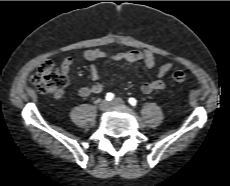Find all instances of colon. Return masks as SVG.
Wrapping results in <instances>:
<instances>
[{
    "label": "colon",
    "mask_w": 230,
    "mask_h": 186,
    "mask_svg": "<svg viewBox=\"0 0 230 186\" xmlns=\"http://www.w3.org/2000/svg\"><path fill=\"white\" fill-rule=\"evenodd\" d=\"M171 78L175 82H184L187 74L177 70L171 73ZM31 81L40 92L54 95L62 93L67 84L66 77L52 61L43 62L32 75Z\"/></svg>",
    "instance_id": "obj_1"
}]
</instances>
